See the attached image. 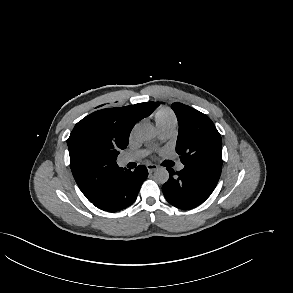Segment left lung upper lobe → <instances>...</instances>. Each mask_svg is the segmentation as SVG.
<instances>
[{
  "mask_svg": "<svg viewBox=\"0 0 293 293\" xmlns=\"http://www.w3.org/2000/svg\"><path fill=\"white\" fill-rule=\"evenodd\" d=\"M179 124L176 152L184 165L208 166L222 170V139L205 114L182 103H173Z\"/></svg>",
  "mask_w": 293,
  "mask_h": 293,
  "instance_id": "obj_1",
  "label": "left lung upper lobe"
}]
</instances>
